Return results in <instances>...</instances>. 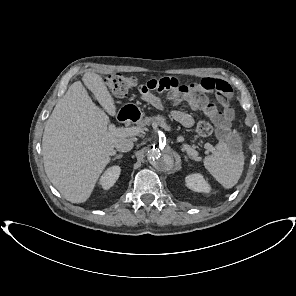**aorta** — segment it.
Instances as JSON below:
<instances>
[{"label": "aorta", "instance_id": "762f6f07", "mask_svg": "<svg viewBox=\"0 0 296 296\" xmlns=\"http://www.w3.org/2000/svg\"><path fill=\"white\" fill-rule=\"evenodd\" d=\"M150 164L157 170H168L173 166L174 157L170 149L166 147L151 146L147 151Z\"/></svg>", "mask_w": 296, "mask_h": 296}]
</instances>
